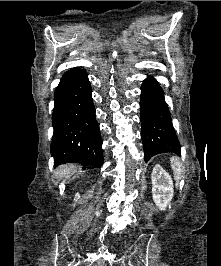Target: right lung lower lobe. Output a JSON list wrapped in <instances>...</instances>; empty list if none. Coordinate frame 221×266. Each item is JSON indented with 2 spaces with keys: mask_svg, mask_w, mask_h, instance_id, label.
<instances>
[{
  "mask_svg": "<svg viewBox=\"0 0 221 266\" xmlns=\"http://www.w3.org/2000/svg\"><path fill=\"white\" fill-rule=\"evenodd\" d=\"M54 102V166L71 162L83 168L101 166L102 139L86 71L78 67L67 71L55 90Z\"/></svg>",
  "mask_w": 221,
  "mask_h": 266,
  "instance_id": "right-lung-lower-lobe-1",
  "label": "right lung lower lobe"
}]
</instances>
